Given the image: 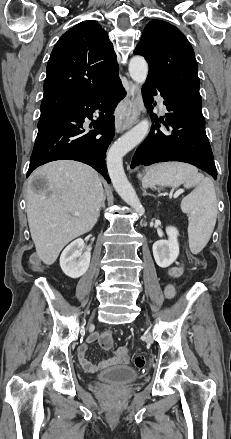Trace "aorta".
<instances>
[{
	"instance_id": "1",
	"label": "aorta",
	"mask_w": 231,
	"mask_h": 439,
	"mask_svg": "<svg viewBox=\"0 0 231 439\" xmlns=\"http://www.w3.org/2000/svg\"><path fill=\"white\" fill-rule=\"evenodd\" d=\"M129 74L137 84L142 85L145 82L148 74V64L144 57L137 55L131 58ZM149 128L150 122L147 119L140 121L114 142L107 154V169L114 189L139 215H143L145 210L125 175L123 157L146 137Z\"/></svg>"
}]
</instances>
